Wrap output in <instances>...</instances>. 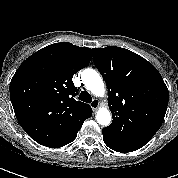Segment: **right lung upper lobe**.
<instances>
[{
    "instance_id": "obj_1",
    "label": "right lung upper lobe",
    "mask_w": 178,
    "mask_h": 178,
    "mask_svg": "<svg viewBox=\"0 0 178 178\" xmlns=\"http://www.w3.org/2000/svg\"><path fill=\"white\" fill-rule=\"evenodd\" d=\"M92 58L90 48L68 42L46 46L28 57L10 83L16 118L37 143L62 147L72 142L92 114L90 105L76 101L72 77Z\"/></svg>"
}]
</instances>
